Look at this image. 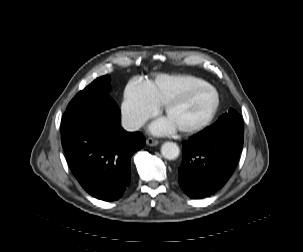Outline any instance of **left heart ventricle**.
<instances>
[{"mask_svg": "<svg viewBox=\"0 0 303 252\" xmlns=\"http://www.w3.org/2000/svg\"><path fill=\"white\" fill-rule=\"evenodd\" d=\"M212 102V92L207 88H201L192 93L184 103L174 106L166 117L176 128L193 126L206 117Z\"/></svg>", "mask_w": 303, "mask_h": 252, "instance_id": "b2bd125f", "label": "left heart ventricle"}]
</instances>
